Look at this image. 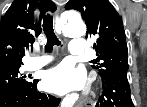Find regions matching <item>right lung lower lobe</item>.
I'll return each mask as SVG.
<instances>
[{"instance_id": "1", "label": "right lung lower lobe", "mask_w": 147, "mask_h": 107, "mask_svg": "<svg viewBox=\"0 0 147 107\" xmlns=\"http://www.w3.org/2000/svg\"><path fill=\"white\" fill-rule=\"evenodd\" d=\"M37 83L0 95V107H56L60 99L38 92Z\"/></svg>"}]
</instances>
